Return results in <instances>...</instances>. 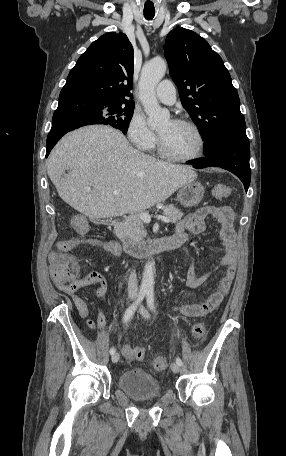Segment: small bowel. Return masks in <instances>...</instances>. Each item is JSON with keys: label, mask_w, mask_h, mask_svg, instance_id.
<instances>
[{"label": "small bowel", "mask_w": 286, "mask_h": 456, "mask_svg": "<svg viewBox=\"0 0 286 456\" xmlns=\"http://www.w3.org/2000/svg\"><path fill=\"white\" fill-rule=\"evenodd\" d=\"M210 219H214L221 225V240L225 250L221 265L225 268V274L220 280L217 289L212 292L205 301L176 306L171 309L173 312L185 317H203L215 311L229 291L236 273L239 249L236 244V234L233 228L234 213L230 207L222 205L204 206L199 208L194 213L186 215L177 222L175 236L182 238L185 241L189 233L195 235L201 234L206 230L207 223ZM82 245L100 248L115 257H120L122 255L121 247L117 243L94 237H72L60 241L58 247L61 251L67 252ZM56 256V253L52 254L50 259L51 265ZM209 276L210 274L202 273L198 266H191L186 273V281L189 287L196 289L204 285L209 279ZM52 279L59 290L70 295L80 315L87 319L89 328L93 329L97 324L99 328L107 329V320L102 310H98L96 319L89 317V309L86 302L76 294L78 289L90 288L95 296L100 297L106 295L108 292V282L101 273L96 271L88 272L85 275L84 281L74 290L56 282L53 276ZM134 348L135 347L131 345H123L121 347L123 355L128 361H132L128 356V353L132 352Z\"/></svg>", "instance_id": "small-bowel-1"}]
</instances>
